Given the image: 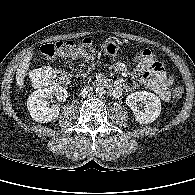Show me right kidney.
I'll return each mask as SVG.
<instances>
[{
    "instance_id": "1",
    "label": "right kidney",
    "mask_w": 195,
    "mask_h": 195,
    "mask_svg": "<svg viewBox=\"0 0 195 195\" xmlns=\"http://www.w3.org/2000/svg\"><path fill=\"white\" fill-rule=\"evenodd\" d=\"M56 96L59 101H65L68 92L62 86L52 85L34 91L28 98L27 108L31 117L36 122L46 123L58 117L60 109L58 105H50V96Z\"/></svg>"
}]
</instances>
